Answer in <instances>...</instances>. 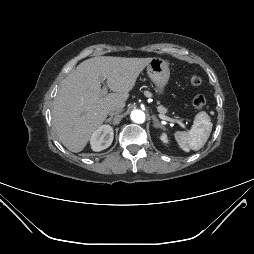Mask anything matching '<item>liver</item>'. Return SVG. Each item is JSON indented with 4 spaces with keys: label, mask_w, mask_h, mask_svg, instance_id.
<instances>
[{
    "label": "liver",
    "mask_w": 254,
    "mask_h": 254,
    "mask_svg": "<svg viewBox=\"0 0 254 254\" xmlns=\"http://www.w3.org/2000/svg\"><path fill=\"white\" fill-rule=\"evenodd\" d=\"M152 58L97 56L81 62L61 83L53 104V125L60 142L80 152L113 106L124 107L139 74ZM106 79L113 93L101 96Z\"/></svg>",
    "instance_id": "1"
}]
</instances>
